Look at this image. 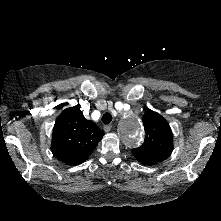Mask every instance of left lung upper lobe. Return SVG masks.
<instances>
[{
  "label": "left lung upper lobe",
  "instance_id": "1",
  "mask_svg": "<svg viewBox=\"0 0 221 221\" xmlns=\"http://www.w3.org/2000/svg\"><path fill=\"white\" fill-rule=\"evenodd\" d=\"M144 143L131 152L144 165L165 160L173 150V136L168 122L157 112L147 109L143 116Z\"/></svg>",
  "mask_w": 221,
  "mask_h": 221
}]
</instances>
